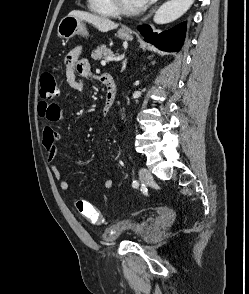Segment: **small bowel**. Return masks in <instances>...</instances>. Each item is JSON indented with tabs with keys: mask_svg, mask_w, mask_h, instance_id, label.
Returning <instances> with one entry per match:
<instances>
[{
	"mask_svg": "<svg viewBox=\"0 0 249 294\" xmlns=\"http://www.w3.org/2000/svg\"><path fill=\"white\" fill-rule=\"evenodd\" d=\"M82 47L77 46L70 50L66 57L65 75L69 86L76 90H82L83 84L81 78H95L91 73L90 62L81 58ZM39 116L45 121L43 126V145L47 152L48 161L51 164V171L54 178L58 181L61 190L69 189L70 184L64 178L62 171L55 165V159L58 155L57 142L62 139V135L54 129V124L64 121L67 117L66 112L54 103L40 102L38 106ZM105 189H111L113 181L106 178L103 181ZM173 216L171 211H164L161 218L170 219Z\"/></svg>",
	"mask_w": 249,
	"mask_h": 294,
	"instance_id": "obj_1",
	"label": "small bowel"
}]
</instances>
